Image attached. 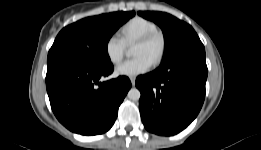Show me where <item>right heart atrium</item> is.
Listing matches in <instances>:
<instances>
[{
	"instance_id": "1",
	"label": "right heart atrium",
	"mask_w": 261,
	"mask_h": 150,
	"mask_svg": "<svg viewBox=\"0 0 261 150\" xmlns=\"http://www.w3.org/2000/svg\"><path fill=\"white\" fill-rule=\"evenodd\" d=\"M106 56L113 64H118L124 57L126 44L118 35H110L104 45Z\"/></svg>"
}]
</instances>
